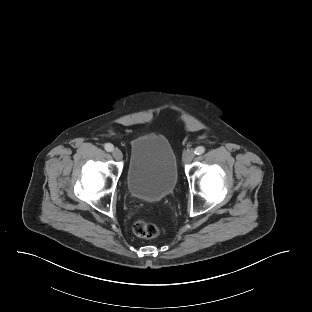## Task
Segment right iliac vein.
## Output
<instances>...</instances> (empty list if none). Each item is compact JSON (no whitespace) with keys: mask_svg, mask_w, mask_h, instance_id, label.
<instances>
[{"mask_svg":"<svg viewBox=\"0 0 312 312\" xmlns=\"http://www.w3.org/2000/svg\"><path fill=\"white\" fill-rule=\"evenodd\" d=\"M112 155L116 160H121L123 158V154L119 149H114Z\"/></svg>","mask_w":312,"mask_h":312,"instance_id":"63e3f726","label":"right iliac vein"}]
</instances>
